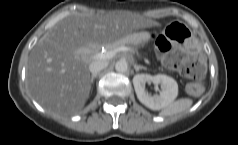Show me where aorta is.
Listing matches in <instances>:
<instances>
[{
    "label": "aorta",
    "instance_id": "1",
    "mask_svg": "<svg viewBox=\"0 0 238 145\" xmlns=\"http://www.w3.org/2000/svg\"><path fill=\"white\" fill-rule=\"evenodd\" d=\"M115 70L119 73H124L128 70V63L125 60H119L115 64Z\"/></svg>",
    "mask_w": 238,
    "mask_h": 145
}]
</instances>
